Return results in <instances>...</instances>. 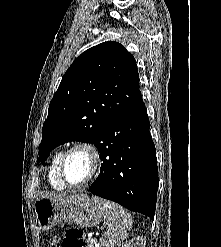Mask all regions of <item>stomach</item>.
I'll return each mask as SVG.
<instances>
[{"label":"stomach","instance_id":"1","mask_svg":"<svg viewBox=\"0 0 221 247\" xmlns=\"http://www.w3.org/2000/svg\"><path fill=\"white\" fill-rule=\"evenodd\" d=\"M106 201L87 194L65 197H41L34 204V212L42 230H49L61 222H73L82 227H94L103 215Z\"/></svg>","mask_w":221,"mask_h":247}]
</instances>
